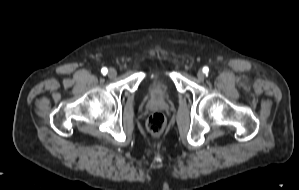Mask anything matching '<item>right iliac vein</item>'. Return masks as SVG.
I'll return each instance as SVG.
<instances>
[{
  "instance_id": "1",
  "label": "right iliac vein",
  "mask_w": 299,
  "mask_h": 190,
  "mask_svg": "<svg viewBox=\"0 0 299 190\" xmlns=\"http://www.w3.org/2000/svg\"><path fill=\"white\" fill-rule=\"evenodd\" d=\"M116 75H117L116 70H115L114 68H110L109 71H108V76H109L110 78H115Z\"/></svg>"
}]
</instances>
